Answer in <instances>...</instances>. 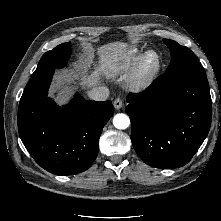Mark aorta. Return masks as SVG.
Returning <instances> with one entry per match:
<instances>
[{
	"mask_svg": "<svg viewBox=\"0 0 221 221\" xmlns=\"http://www.w3.org/2000/svg\"><path fill=\"white\" fill-rule=\"evenodd\" d=\"M113 124L117 129H126L130 125V119L126 114L119 113L114 116Z\"/></svg>",
	"mask_w": 221,
	"mask_h": 221,
	"instance_id": "obj_1",
	"label": "aorta"
}]
</instances>
